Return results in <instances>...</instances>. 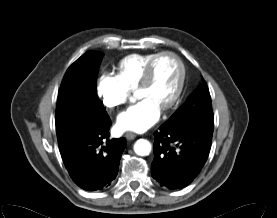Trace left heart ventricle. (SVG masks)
<instances>
[{
  "label": "left heart ventricle",
  "mask_w": 277,
  "mask_h": 218,
  "mask_svg": "<svg viewBox=\"0 0 277 218\" xmlns=\"http://www.w3.org/2000/svg\"><path fill=\"white\" fill-rule=\"evenodd\" d=\"M180 76L176 61L168 56L160 58L153 71L151 83L137 90L140 98H150L161 107L174 93Z\"/></svg>",
  "instance_id": "left-heart-ventricle-1"
}]
</instances>
